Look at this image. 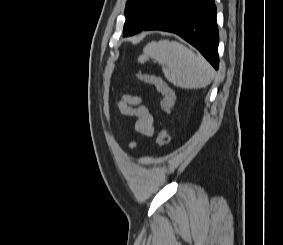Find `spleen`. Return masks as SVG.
Here are the masks:
<instances>
[{"mask_svg": "<svg viewBox=\"0 0 283 245\" xmlns=\"http://www.w3.org/2000/svg\"><path fill=\"white\" fill-rule=\"evenodd\" d=\"M154 59L162 66L165 78L184 89H200L214 79V70L201 56L177 41L151 42L143 49L138 62Z\"/></svg>", "mask_w": 283, "mask_h": 245, "instance_id": "spleen-1", "label": "spleen"}]
</instances>
